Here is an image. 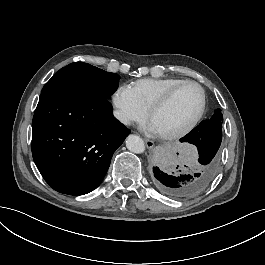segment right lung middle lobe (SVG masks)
Segmentation results:
<instances>
[{
	"label": "right lung middle lobe",
	"mask_w": 265,
	"mask_h": 265,
	"mask_svg": "<svg viewBox=\"0 0 265 265\" xmlns=\"http://www.w3.org/2000/svg\"><path fill=\"white\" fill-rule=\"evenodd\" d=\"M120 77L92 65L75 62L60 69L44 86L42 94L56 93L75 97L108 100L118 87Z\"/></svg>",
	"instance_id": "right-lung-middle-lobe-1"
}]
</instances>
